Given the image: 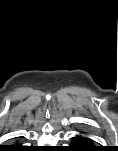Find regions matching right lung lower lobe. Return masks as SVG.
Listing matches in <instances>:
<instances>
[{
	"label": "right lung lower lobe",
	"mask_w": 118,
	"mask_h": 151,
	"mask_svg": "<svg viewBox=\"0 0 118 151\" xmlns=\"http://www.w3.org/2000/svg\"><path fill=\"white\" fill-rule=\"evenodd\" d=\"M9 148L10 149H7V151L8 150H26L25 147H23V146H9Z\"/></svg>",
	"instance_id": "obj_1"
}]
</instances>
